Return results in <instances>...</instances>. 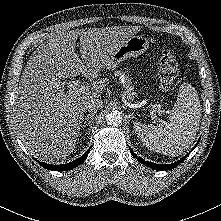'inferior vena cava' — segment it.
Here are the masks:
<instances>
[{
  "label": "inferior vena cava",
  "mask_w": 221,
  "mask_h": 221,
  "mask_svg": "<svg viewBox=\"0 0 221 221\" xmlns=\"http://www.w3.org/2000/svg\"><path fill=\"white\" fill-rule=\"evenodd\" d=\"M103 107V101L100 99H90L85 103V109L89 112L97 111Z\"/></svg>",
  "instance_id": "602c4592"
}]
</instances>
